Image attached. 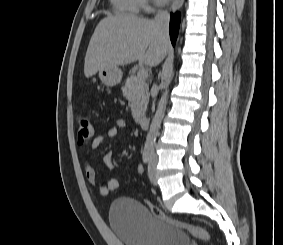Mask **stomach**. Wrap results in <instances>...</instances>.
<instances>
[{"instance_id": "1", "label": "stomach", "mask_w": 283, "mask_h": 245, "mask_svg": "<svg viewBox=\"0 0 283 245\" xmlns=\"http://www.w3.org/2000/svg\"><path fill=\"white\" fill-rule=\"evenodd\" d=\"M99 78L106 86L112 87L120 83L122 72L117 66L99 69Z\"/></svg>"}]
</instances>
